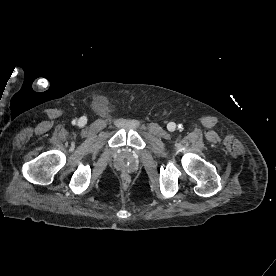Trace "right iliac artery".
<instances>
[{
	"instance_id": "82829eb1",
	"label": "right iliac artery",
	"mask_w": 276,
	"mask_h": 276,
	"mask_svg": "<svg viewBox=\"0 0 276 276\" xmlns=\"http://www.w3.org/2000/svg\"><path fill=\"white\" fill-rule=\"evenodd\" d=\"M72 124L75 125V124H76V120H73V121H72Z\"/></svg>"
}]
</instances>
